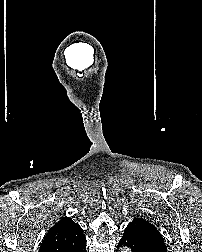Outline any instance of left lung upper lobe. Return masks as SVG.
<instances>
[{
	"label": "left lung upper lobe",
	"mask_w": 202,
	"mask_h": 252,
	"mask_svg": "<svg viewBox=\"0 0 202 252\" xmlns=\"http://www.w3.org/2000/svg\"><path fill=\"white\" fill-rule=\"evenodd\" d=\"M134 220L148 222V221H146V220H144V219H142V218H135ZM148 223H149V222H148Z\"/></svg>",
	"instance_id": "obj_1"
}]
</instances>
